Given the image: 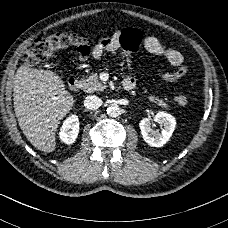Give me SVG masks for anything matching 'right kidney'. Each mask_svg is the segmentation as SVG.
<instances>
[{"label":"right kidney","mask_w":228,"mask_h":228,"mask_svg":"<svg viewBox=\"0 0 228 228\" xmlns=\"http://www.w3.org/2000/svg\"><path fill=\"white\" fill-rule=\"evenodd\" d=\"M79 133V119L76 115L68 117L59 132V137L65 144H73Z\"/></svg>","instance_id":"1"}]
</instances>
